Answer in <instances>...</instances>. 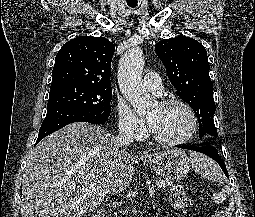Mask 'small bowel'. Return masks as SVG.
<instances>
[{"label":"small bowel","mask_w":255,"mask_h":217,"mask_svg":"<svg viewBox=\"0 0 255 217\" xmlns=\"http://www.w3.org/2000/svg\"><path fill=\"white\" fill-rule=\"evenodd\" d=\"M218 217H222V214H219Z\"/></svg>","instance_id":"c3829d8e"}]
</instances>
